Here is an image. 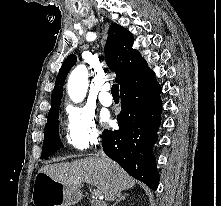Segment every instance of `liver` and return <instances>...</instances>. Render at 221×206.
<instances>
[{"instance_id": "liver-1", "label": "liver", "mask_w": 221, "mask_h": 206, "mask_svg": "<svg viewBox=\"0 0 221 206\" xmlns=\"http://www.w3.org/2000/svg\"><path fill=\"white\" fill-rule=\"evenodd\" d=\"M39 173L76 188L83 181L91 183L103 193L106 201H113L118 192L135 185V180L117 163L110 159L104 163L99 157L45 165L39 169Z\"/></svg>"}]
</instances>
